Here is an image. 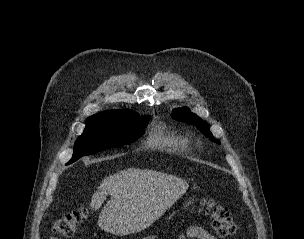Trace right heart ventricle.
Segmentation results:
<instances>
[{
  "instance_id": "obj_1",
  "label": "right heart ventricle",
  "mask_w": 304,
  "mask_h": 239,
  "mask_svg": "<svg viewBox=\"0 0 304 239\" xmlns=\"http://www.w3.org/2000/svg\"><path fill=\"white\" fill-rule=\"evenodd\" d=\"M147 145L170 152L183 153L189 148L188 141L181 136L169 132L162 126L155 128L147 139Z\"/></svg>"
}]
</instances>
